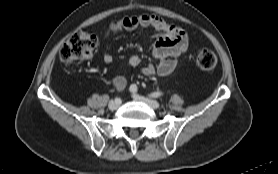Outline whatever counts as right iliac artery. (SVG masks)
<instances>
[{
	"label": "right iliac artery",
	"mask_w": 278,
	"mask_h": 174,
	"mask_svg": "<svg viewBox=\"0 0 278 174\" xmlns=\"http://www.w3.org/2000/svg\"><path fill=\"white\" fill-rule=\"evenodd\" d=\"M115 101H117V102H121V100H120L119 98H116V99H115Z\"/></svg>",
	"instance_id": "obj_1"
}]
</instances>
